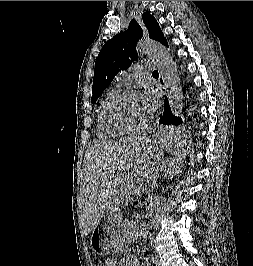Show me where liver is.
Segmentation results:
<instances>
[{"instance_id": "6515ba94", "label": "liver", "mask_w": 253, "mask_h": 266, "mask_svg": "<svg viewBox=\"0 0 253 266\" xmlns=\"http://www.w3.org/2000/svg\"><path fill=\"white\" fill-rule=\"evenodd\" d=\"M145 139V136L120 138L117 141L96 144L87 150L82 189V220L85 235H88L101 220L115 173Z\"/></svg>"}]
</instances>
